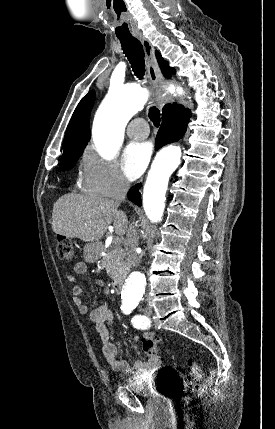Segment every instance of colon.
<instances>
[{
    "mask_svg": "<svg viewBox=\"0 0 275 429\" xmlns=\"http://www.w3.org/2000/svg\"><path fill=\"white\" fill-rule=\"evenodd\" d=\"M57 256L66 262H69L74 257V246L72 242L65 238L59 236L57 238L56 244ZM144 352L147 356L155 361L160 362L161 359L156 353V340L155 341H146L143 345ZM188 365L190 368V378L183 380L179 388L185 393H201L203 391V386L201 384L202 379V369L199 363L193 361L192 359L188 360Z\"/></svg>",
    "mask_w": 275,
    "mask_h": 429,
    "instance_id": "1",
    "label": "colon"
}]
</instances>
